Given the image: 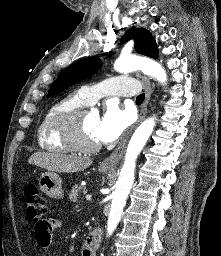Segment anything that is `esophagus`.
Listing matches in <instances>:
<instances>
[{"label": "esophagus", "mask_w": 221, "mask_h": 256, "mask_svg": "<svg viewBox=\"0 0 221 256\" xmlns=\"http://www.w3.org/2000/svg\"><path fill=\"white\" fill-rule=\"evenodd\" d=\"M142 81H143V85L145 88V93H146V98L144 103L142 104L141 107V111L139 114V119L136 122V124L134 126H132L127 133L125 134V136L123 137V139L121 140V142L119 143V145L116 147V149L113 151V153L107 157L106 159H104L100 165L102 167L105 168H114L116 167V165L118 164V162L122 159L125 149H126V145L128 142V139L130 137V135L132 134L133 130L136 128V126L144 119V117L146 116L147 113V106L152 94V87H151V83L149 81V79L147 77H142Z\"/></svg>", "instance_id": "esophagus-1"}]
</instances>
